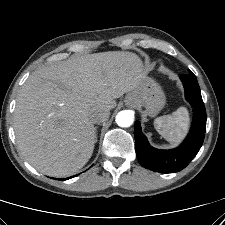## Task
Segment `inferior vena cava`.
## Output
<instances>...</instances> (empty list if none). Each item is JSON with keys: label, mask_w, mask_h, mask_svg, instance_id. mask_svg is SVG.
I'll return each instance as SVG.
<instances>
[{"label": "inferior vena cava", "mask_w": 225, "mask_h": 225, "mask_svg": "<svg viewBox=\"0 0 225 225\" xmlns=\"http://www.w3.org/2000/svg\"><path fill=\"white\" fill-rule=\"evenodd\" d=\"M110 116V110L107 108L96 109L92 115L91 120L94 124H99L108 120Z\"/></svg>", "instance_id": "inferior-vena-cava-1"}]
</instances>
